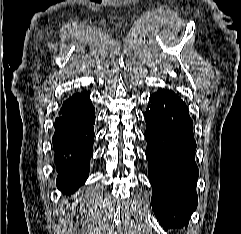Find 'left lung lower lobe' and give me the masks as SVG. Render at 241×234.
<instances>
[{"label":"left lung lower lobe","mask_w":241,"mask_h":234,"mask_svg":"<svg viewBox=\"0 0 241 234\" xmlns=\"http://www.w3.org/2000/svg\"><path fill=\"white\" fill-rule=\"evenodd\" d=\"M152 209L165 227H183L197 207L193 122L174 92L159 89L145 112Z\"/></svg>","instance_id":"left-lung-lower-lobe-1"}]
</instances>
